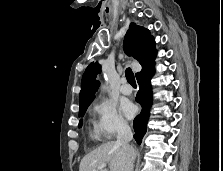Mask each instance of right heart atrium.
I'll list each match as a JSON object with an SVG mask.
<instances>
[{"mask_svg":"<svg viewBox=\"0 0 223 171\" xmlns=\"http://www.w3.org/2000/svg\"><path fill=\"white\" fill-rule=\"evenodd\" d=\"M92 113L95 116L94 132L99 138L112 139L129 128L116 106L108 100L96 101Z\"/></svg>","mask_w":223,"mask_h":171,"instance_id":"obj_1","label":"right heart atrium"}]
</instances>
